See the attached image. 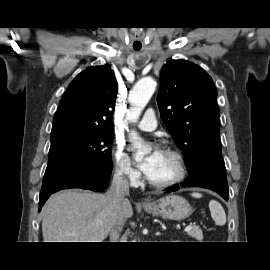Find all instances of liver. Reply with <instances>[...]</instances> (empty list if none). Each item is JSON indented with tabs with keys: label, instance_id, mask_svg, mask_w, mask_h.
Listing matches in <instances>:
<instances>
[{
	"label": "liver",
	"instance_id": "obj_1",
	"mask_svg": "<svg viewBox=\"0 0 270 270\" xmlns=\"http://www.w3.org/2000/svg\"><path fill=\"white\" fill-rule=\"evenodd\" d=\"M132 215L128 199L119 212L108 193L64 190L50 197L43 209V239L44 242H103L118 221H126Z\"/></svg>",
	"mask_w": 270,
	"mask_h": 270
}]
</instances>
